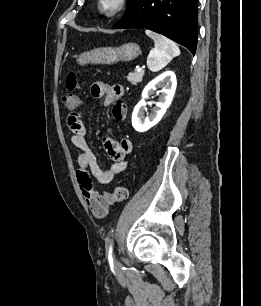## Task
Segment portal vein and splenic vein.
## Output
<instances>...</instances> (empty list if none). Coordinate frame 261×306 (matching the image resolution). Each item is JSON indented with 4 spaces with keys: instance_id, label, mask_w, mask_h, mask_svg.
Here are the masks:
<instances>
[{
    "instance_id": "obj_1",
    "label": "portal vein and splenic vein",
    "mask_w": 261,
    "mask_h": 306,
    "mask_svg": "<svg viewBox=\"0 0 261 306\" xmlns=\"http://www.w3.org/2000/svg\"><path fill=\"white\" fill-rule=\"evenodd\" d=\"M136 70H137V72L143 71L141 67H138Z\"/></svg>"
}]
</instances>
